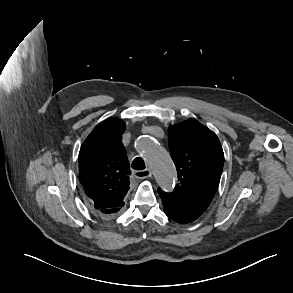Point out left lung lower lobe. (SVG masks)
Masks as SVG:
<instances>
[{
    "instance_id": "1",
    "label": "left lung lower lobe",
    "mask_w": 293,
    "mask_h": 293,
    "mask_svg": "<svg viewBox=\"0 0 293 293\" xmlns=\"http://www.w3.org/2000/svg\"><path fill=\"white\" fill-rule=\"evenodd\" d=\"M159 195L162 199L165 214L178 223H189L201 215L200 213L179 204L161 190H159Z\"/></svg>"
}]
</instances>
